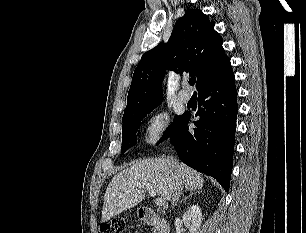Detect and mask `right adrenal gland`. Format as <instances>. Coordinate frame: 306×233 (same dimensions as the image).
I'll return each instance as SVG.
<instances>
[{
	"label": "right adrenal gland",
	"instance_id": "obj_1",
	"mask_svg": "<svg viewBox=\"0 0 306 233\" xmlns=\"http://www.w3.org/2000/svg\"><path fill=\"white\" fill-rule=\"evenodd\" d=\"M201 192H202V190H200V189L191 191L190 194H189L188 196H186L183 200H181V203H182V202H186V200H187L189 197H191L193 194L201 193Z\"/></svg>",
	"mask_w": 306,
	"mask_h": 233
}]
</instances>
